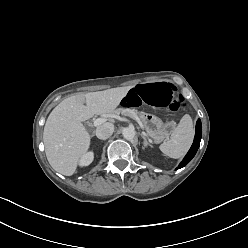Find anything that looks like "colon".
Here are the masks:
<instances>
[{
	"instance_id": "1",
	"label": "colon",
	"mask_w": 248,
	"mask_h": 248,
	"mask_svg": "<svg viewBox=\"0 0 248 248\" xmlns=\"http://www.w3.org/2000/svg\"><path fill=\"white\" fill-rule=\"evenodd\" d=\"M172 111H179L184 107L183 98L178 94L174 85L166 82H155L132 87L128 95L123 98L122 105L126 109L139 107L142 103Z\"/></svg>"
}]
</instances>
